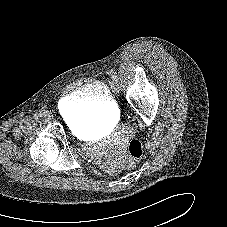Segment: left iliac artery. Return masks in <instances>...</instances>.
<instances>
[{
  "instance_id": "obj_1",
  "label": "left iliac artery",
  "mask_w": 227,
  "mask_h": 227,
  "mask_svg": "<svg viewBox=\"0 0 227 227\" xmlns=\"http://www.w3.org/2000/svg\"><path fill=\"white\" fill-rule=\"evenodd\" d=\"M115 82H117L118 81V77L116 76V75H112V77H111Z\"/></svg>"
}]
</instances>
